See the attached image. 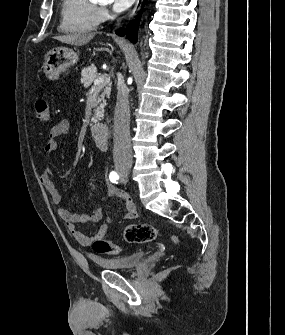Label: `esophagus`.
I'll use <instances>...</instances> for the list:
<instances>
[{
  "label": "esophagus",
  "instance_id": "34e87169",
  "mask_svg": "<svg viewBox=\"0 0 285 335\" xmlns=\"http://www.w3.org/2000/svg\"><path fill=\"white\" fill-rule=\"evenodd\" d=\"M143 0H137L135 7L133 8V10L130 13V17L134 16V14L140 9L141 5H142Z\"/></svg>",
  "mask_w": 285,
  "mask_h": 335
}]
</instances>
